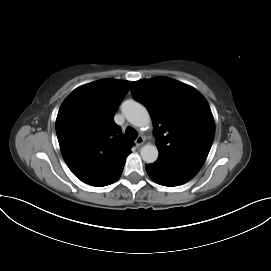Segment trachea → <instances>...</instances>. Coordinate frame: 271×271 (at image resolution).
I'll return each instance as SVG.
<instances>
[{
    "label": "trachea",
    "instance_id": "obj_1",
    "mask_svg": "<svg viewBox=\"0 0 271 271\" xmlns=\"http://www.w3.org/2000/svg\"><path fill=\"white\" fill-rule=\"evenodd\" d=\"M125 134L130 140H135L138 135L137 131L132 127H128L125 131Z\"/></svg>",
    "mask_w": 271,
    "mask_h": 271
}]
</instances>
